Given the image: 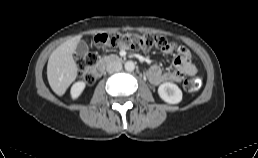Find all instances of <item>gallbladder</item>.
I'll list each match as a JSON object with an SVG mask.
<instances>
[{"mask_svg": "<svg viewBox=\"0 0 258 158\" xmlns=\"http://www.w3.org/2000/svg\"><path fill=\"white\" fill-rule=\"evenodd\" d=\"M75 52L79 56H86V54L88 53V45H87V43L85 41H80L77 44Z\"/></svg>", "mask_w": 258, "mask_h": 158, "instance_id": "gallbladder-1", "label": "gallbladder"}]
</instances>
